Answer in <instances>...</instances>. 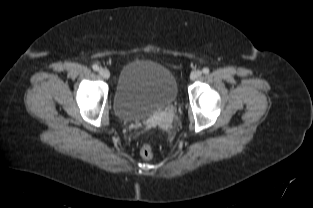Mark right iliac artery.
Instances as JSON below:
<instances>
[{
    "label": "right iliac artery",
    "mask_w": 313,
    "mask_h": 208,
    "mask_svg": "<svg viewBox=\"0 0 313 208\" xmlns=\"http://www.w3.org/2000/svg\"><path fill=\"white\" fill-rule=\"evenodd\" d=\"M92 68H93L94 71H98V70H99V66L96 65V64H94V65L92 66Z\"/></svg>",
    "instance_id": "obj_1"
}]
</instances>
